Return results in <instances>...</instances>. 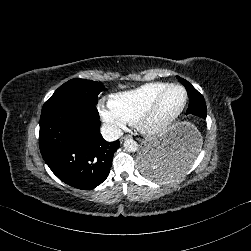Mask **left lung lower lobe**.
Here are the masks:
<instances>
[{"instance_id": "0a47b994", "label": "left lung lower lobe", "mask_w": 251, "mask_h": 251, "mask_svg": "<svg viewBox=\"0 0 251 251\" xmlns=\"http://www.w3.org/2000/svg\"><path fill=\"white\" fill-rule=\"evenodd\" d=\"M189 107L186 114L199 121L206 119L205 100L188 92ZM199 147V134L190 127L180 136L147 144L140 153V173L155 183L171 180L182 173L194 160Z\"/></svg>"}]
</instances>
